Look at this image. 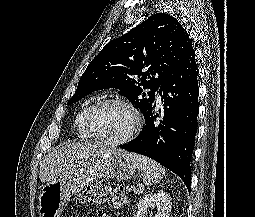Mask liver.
I'll return each instance as SVG.
<instances>
[{"instance_id": "1", "label": "liver", "mask_w": 255, "mask_h": 217, "mask_svg": "<svg viewBox=\"0 0 255 217\" xmlns=\"http://www.w3.org/2000/svg\"><path fill=\"white\" fill-rule=\"evenodd\" d=\"M104 148L100 144L90 142L68 143L55 148L43 157L39 178L41 182H48L60 173L71 170L75 165L99 155Z\"/></svg>"}]
</instances>
